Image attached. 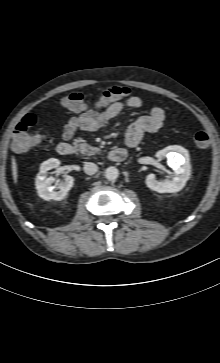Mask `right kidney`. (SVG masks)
<instances>
[{"mask_svg": "<svg viewBox=\"0 0 220 363\" xmlns=\"http://www.w3.org/2000/svg\"><path fill=\"white\" fill-rule=\"evenodd\" d=\"M59 165L60 161L55 158L44 161L40 165V172L37 175L35 186L38 195L44 200H63L74 185V178L72 176H66L65 182L60 186V190L57 192L53 191L51 184L53 183L54 178L51 176L47 177V172L59 167Z\"/></svg>", "mask_w": 220, "mask_h": 363, "instance_id": "ca27d5eb", "label": "right kidney"}]
</instances>
